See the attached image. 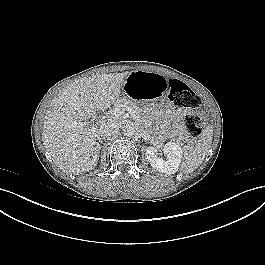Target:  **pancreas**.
Here are the masks:
<instances>
[{"label": "pancreas", "instance_id": "cf45deb5", "mask_svg": "<svg viewBox=\"0 0 265 265\" xmlns=\"http://www.w3.org/2000/svg\"><path fill=\"white\" fill-rule=\"evenodd\" d=\"M118 105H123L125 107L129 106L138 115L141 113V109L137 106V104L128 97L117 98L114 102V106L116 107Z\"/></svg>", "mask_w": 265, "mask_h": 265}]
</instances>
